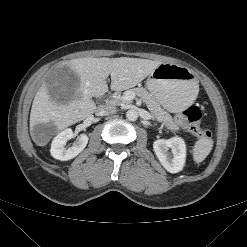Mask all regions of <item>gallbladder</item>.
<instances>
[{
	"label": "gallbladder",
	"instance_id": "obj_1",
	"mask_svg": "<svg viewBox=\"0 0 247 247\" xmlns=\"http://www.w3.org/2000/svg\"><path fill=\"white\" fill-rule=\"evenodd\" d=\"M49 95L58 103L72 100L79 86L77 74L67 66L55 69L46 79Z\"/></svg>",
	"mask_w": 247,
	"mask_h": 247
}]
</instances>
